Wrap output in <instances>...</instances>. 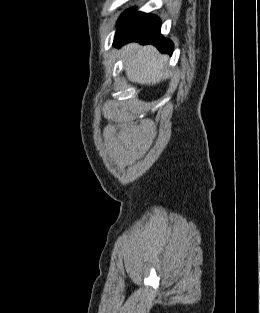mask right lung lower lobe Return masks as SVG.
Instances as JSON below:
<instances>
[{"label":"right lung lower lobe","instance_id":"right-lung-lower-lobe-1","mask_svg":"<svg viewBox=\"0 0 260 313\" xmlns=\"http://www.w3.org/2000/svg\"><path fill=\"white\" fill-rule=\"evenodd\" d=\"M114 44L120 46L128 42L153 44L162 53L172 54L173 43L161 36V21L158 17L129 9L121 15Z\"/></svg>","mask_w":260,"mask_h":313}]
</instances>
